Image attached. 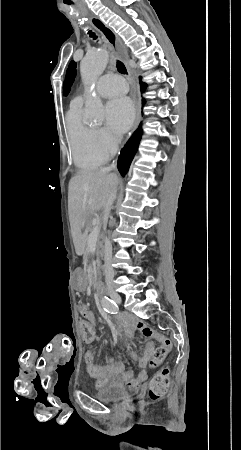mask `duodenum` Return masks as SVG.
<instances>
[{
  "mask_svg": "<svg viewBox=\"0 0 241 450\" xmlns=\"http://www.w3.org/2000/svg\"><path fill=\"white\" fill-rule=\"evenodd\" d=\"M93 289H94L97 293H102V292H103V289H104V285H103V283H102L100 280L95 279V280L93 281Z\"/></svg>",
  "mask_w": 241,
  "mask_h": 450,
  "instance_id": "obj_1",
  "label": "duodenum"
}]
</instances>
